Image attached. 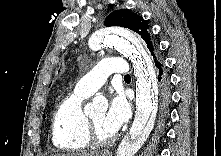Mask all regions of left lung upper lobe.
I'll return each instance as SVG.
<instances>
[{"mask_svg": "<svg viewBox=\"0 0 221 156\" xmlns=\"http://www.w3.org/2000/svg\"><path fill=\"white\" fill-rule=\"evenodd\" d=\"M104 24L105 26H120L135 31L145 41L154 63L161 59L157 51V45L152 39L151 30L141 16L128 9L116 10L107 16Z\"/></svg>", "mask_w": 221, "mask_h": 156, "instance_id": "1", "label": "left lung upper lobe"}]
</instances>
